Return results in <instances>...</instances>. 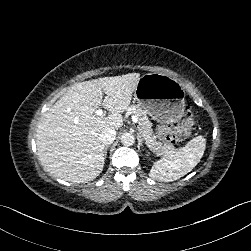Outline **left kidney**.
Instances as JSON below:
<instances>
[{"label": "left kidney", "instance_id": "5707ae66", "mask_svg": "<svg viewBox=\"0 0 251 251\" xmlns=\"http://www.w3.org/2000/svg\"><path fill=\"white\" fill-rule=\"evenodd\" d=\"M151 151L150 150H147L145 152V158L147 159L148 162H151L152 158H151Z\"/></svg>", "mask_w": 251, "mask_h": 251}]
</instances>
